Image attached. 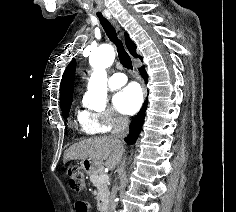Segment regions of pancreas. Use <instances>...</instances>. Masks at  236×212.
Masks as SVG:
<instances>
[{
	"mask_svg": "<svg viewBox=\"0 0 236 212\" xmlns=\"http://www.w3.org/2000/svg\"><path fill=\"white\" fill-rule=\"evenodd\" d=\"M102 170H97L90 175V181L97 188V209L105 211L109 204L108 180H100Z\"/></svg>",
	"mask_w": 236,
	"mask_h": 212,
	"instance_id": "obj_1",
	"label": "pancreas"
}]
</instances>
